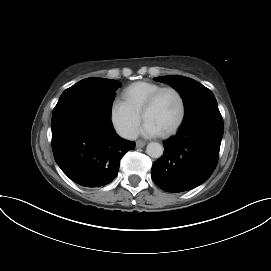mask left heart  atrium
<instances>
[{"mask_svg": "<svg viewBox=\"0 0 271 271\" xmlns=\"http://www.w3.org/2000/svg\"><path fill=\"white\" fill-rule=\"evenodd\" d=\"M138 133L145 137H155L162 134L158 127H156L152 122L147 120H145L143 126L141 127Z\"/></svg>", "mask_w": 271, "mask_h": 271, "instance_id": "39dd6f15", "label": "left heart atrium"}]
</instances>
